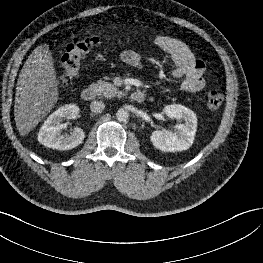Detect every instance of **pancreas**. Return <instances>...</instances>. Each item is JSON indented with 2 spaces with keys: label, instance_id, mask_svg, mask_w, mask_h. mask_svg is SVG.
Returning <instances> with one entry per match:
<instances>
[{
  "label": "pancreas",
  "instance_id": "cf45deb5",
  "mask_svg": "<svg viewBox=\"0 0 263 263\" xmlns=\"http://www.w3.org/2000/svg\"><path fill=\"white\" fill-rule=\"evenodd\" d=\"M91 88L96 92L98 96H104L106 98H111L115 96H120L121 92L113 84L105 81H100L98 83H93Z\"/></svg>",
  "mask_w": 263,
  "mask_h": 263
}]
</instances>
